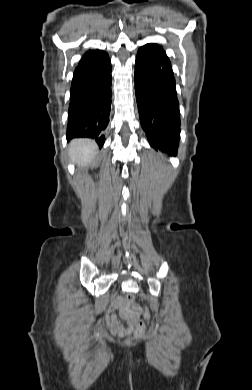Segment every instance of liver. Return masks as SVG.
<instances>
[{
  "mask_svg": "<svg viewBox=\"0 0 252 390\" xmlns=\"http://www.w3.org/2000/svg\"><path fill=\"white\" fill-rule=\"evenodd\" d=\"M96 150V143L89 139H75L69 146L71 160L79 166H86L91 163L96 155Z\"/></svg>",
  "mask_w": 252,
  "mask_h": 390,
  "instance_id": "1",
  "label": "liver"
}]
</instances>
